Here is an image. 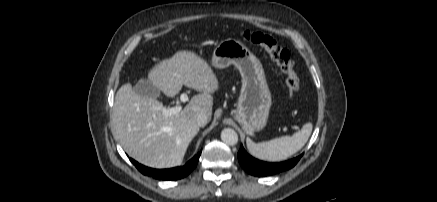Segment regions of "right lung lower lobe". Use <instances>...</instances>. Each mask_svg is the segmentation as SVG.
<instances>
[{"label": "right lung lower lobe", "instance_id": "98d812e1", "mask_svg": "<svg viewBox=\"0 0 437 202\" xmlns=\"http://www.w3.org/2000/svg\"><path fill=\"white\" fill-rule=\"evenodd\" d=\"M200 155L201 151L198 152L197 155L189 160L184 166L171 169H153L141 165L133 159H130V161L144 175L151 176L159 180H177L187 176L197 166Z\"/></svg>", "mask_w": 437, "mask_h": 202}]
</instances>
